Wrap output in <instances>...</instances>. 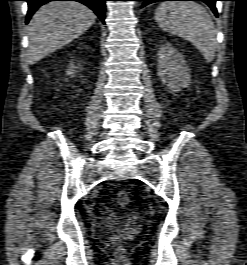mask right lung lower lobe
Wrapping results in <instances>:
<instances>
[{
	"instance_id": "98d812e1",
	"label": "right lung lower lobe",
	"mask_w": 247,
	"mask_h": 265,
	"mask_svg": "<svg viewBox=\"0 0 247 265\" xmlns=\"http://www.w3.org/2000/svg\"><path fill=\"white\" fill-rule=\"evenodd\" d=\"M28 2V13L26 23L29 22L34 12L43 4L50 1H77L92 9L99 19L105 24V2L107 0H26Z\"/></svg>"
}]
</instances>
